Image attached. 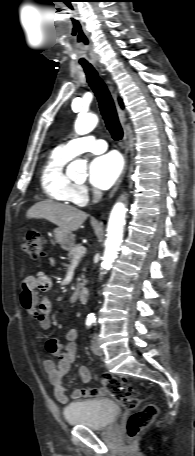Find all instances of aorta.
Segmentation results:
<instances>
[{"mask_svg":"<svg viewBox=\"0 0 195 456\" xmlns=\"http://www.w3.org/2000/svg\"><path fill=\"white\" fill-rule=\"evenodd\" d=\"M98 123V117L94 114H81L75 122V131L79 135L91 132ZM86 171V163L82 160H75L70 163L68 172L71 175L83 174ZM125 205L117 202L109 217L107 228V239L101 268L108 270L118 256V251L123 239V229L125 225ZM94 317V314H90Z\"/></svg>","mask_w":195,"mask_h":456,"instance_id":"762f6f07","label":"aorta"}]
</instances>
